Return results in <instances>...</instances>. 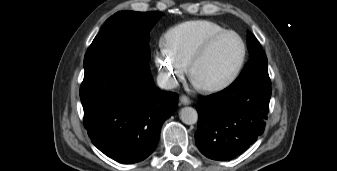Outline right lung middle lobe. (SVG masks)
Returning <instances> with one entry per match:
<instances>
[{
	"label": "right lung middle lobe",
	"mask_w": 337,
	"mask_h": 171,
	"mask_svg": "<svg viewBox=\"0 0 337 171\" xmlns=\"http://www.w3.org/2000/svg\"><path fill=\"white\" fill-rule=\"evenodd\" d=\"M162 12L119 11L108 18L84 58V67L109 56L149 61V32Z\"/></svg>",
	"instance_id": "right-lung-middle-lobe-1"
}]
</instances>
